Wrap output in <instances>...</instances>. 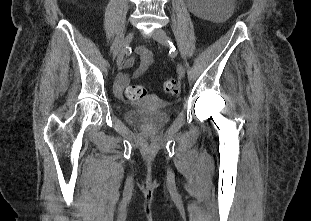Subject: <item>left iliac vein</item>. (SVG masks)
Instances as JSON below:
<instances>
[{
    "label": "left iliac vein",
    "mask_w": 311,
    "mask_h": 221,
    "mask_svg": "<svg viewBox=\"0 0 311 221\" xmlns=\"http://www.w3.org/2000/svg\"><path fill=\"white\" fill-rule=\"evenodd\" d=\"M151 37L162 45L167 44V34L162 29H156L152 32ZM177 74L180 79L185 76V68L182 64L177 65Z\"/></svg>",
    "instance_id": "1"
}]
</instances>
